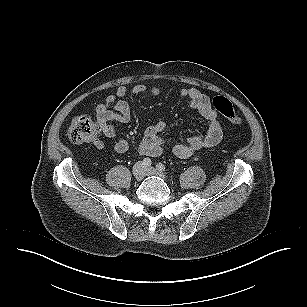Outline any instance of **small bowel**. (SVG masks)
Listing matches in <instances>:
<instances>
[{
	"instance_id": "obj_1",
	"label": "small bowel",
	"mask_w": 307,
	"mask_h": 307,
	"mask_svg": "<svg viewBox=\"0 0 307 307\" xmlns=\"http://www.w3.org/2000/svg\"><path fill=\"white\" fill-rule=\"evenodd\" d=\"M147 90L154 95L160 92L158 87L154 86L148 89L143 84L133 86L130 92L133 95H139ZM127 94L128 89L125 86H119L114 95L107 96L105 101L98 104L95 109L102 134L115 141L114 150L119 154H123L129 149V143L126 139L117 138L114 125V123H128L131 120V108L123 100ZM179 97L185 99L189 107L197 111L207 121L204 133L193 135L185 142L171 146L174 155L179 158H188L200 149L216 146L222 139V129L218 121V112L213 108L207 95L195 88H182L179 91ZM164 129L165 125L161 121L154 122L145 129L143 138L138 145V151L141 155L156 157L163 152L165 141L160 134ZM93 144L98 149L105 148V142L102 139L95 140Z\"/></svg>"
}]
</instances>
